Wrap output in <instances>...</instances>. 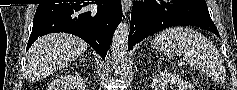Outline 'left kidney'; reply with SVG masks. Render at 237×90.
I'll use <instances>...</instances> for the list:
<instances>
[{
  "label": "left kidney",
  "instance_id": "5707ae66",
  "mask_svg": "<svg viewBox=\"0 0 237 90\" xmlns=\"http://www.w3.org/2000/svg\"><path fill=\"white\" fill-rule=\"evenodd\" d=\"M152 90H193L192 84L169 72H158L152 80Z\"/></svg>",
  "mask_w": 237,
  "mask_h": 90
}]
</instances>
